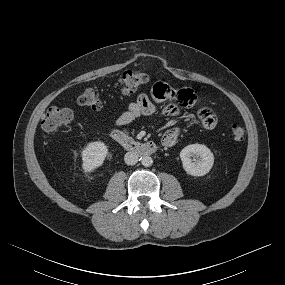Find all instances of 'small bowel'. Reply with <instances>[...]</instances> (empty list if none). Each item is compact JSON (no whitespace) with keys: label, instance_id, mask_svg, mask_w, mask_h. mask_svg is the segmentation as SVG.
<instances>
[{"label":"small bowel","instance_id":"c3829d8e","mask_svg":"<svg viewBox=\"0 0 285 285\" xmlns=\"http://www.w3.org/2000/svg\"><path fill=\"white\" fill-rule=\"evenodd\" d=\"M151 97L146 93H140L136 99L129 103L126 110L114 121L115 127H122L132 123L144 115H151L156 110V105L161 104L164 112L170 116L179 114L180 104L189 107L196 102V92L192 88L180 90L171 89L166 83H157L151 89ZM199 122L205 129H214L217 125V116L209 107H203L198 113ZM181 130L177 127L167 130L162 137V144L166 147L173 146L180 137Z\"/></svg>","mask_w":285,"mask_h":285}]
</instances>
